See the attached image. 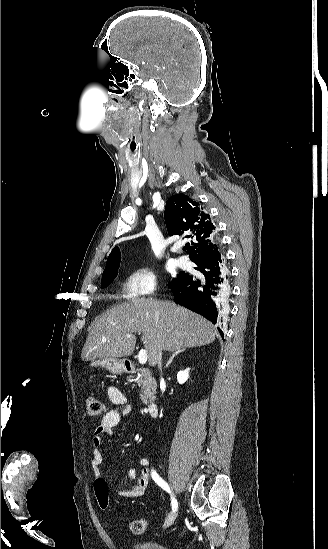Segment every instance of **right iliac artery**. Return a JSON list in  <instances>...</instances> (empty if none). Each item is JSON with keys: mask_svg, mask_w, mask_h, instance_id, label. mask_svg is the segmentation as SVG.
Masks as SVG:
<instances>
[{"mask_svg": "<svg viewBox=\"0 0 328 549\" xmlns=\"http://www.w3.org/2000/svg\"><path fill=\"white\" fill-rule=\"evenodd\" d=\"M152 478L162 489H164L171 495L172 510L173 512H175L178 508V503H177V500L174 498L173 494L171 493V490L168 484L155 471H152Z\"/></svg>", "mask_w": 328, "mask_h": 549, "instance_id": "82829eb1", "label": "right iliac artery"}]
</instances>
